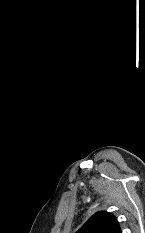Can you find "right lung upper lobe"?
Wrapping results in <instances>:
<instances>
[{"label": "right lung upper lobe", "instance_id": "1", "mask_svg": "<svg viewBox=\"0 0 145 233\" xmlns=\"http://www.w3.org/2000/svg\"><path fill=\"white\" fill-rule=\"evenodd\" d=\"M76 233H121L116 217L100 211L91 216Z\"/></svg>", "mask_w": 145, "mask_h": 233}]
</instances>
